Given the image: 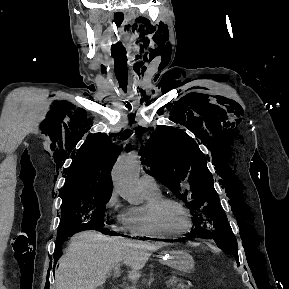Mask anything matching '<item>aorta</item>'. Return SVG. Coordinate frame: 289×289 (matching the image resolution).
<instances>
[{
    "instance_id": "obj_1",
    "label": "aorta",
    "mask_w": 289,
    "mask_h": 289,
    "mask_svg": "<svg viewBox=\"0 0 289 289\" xmlns=\"http://www.w3.org/2000/svg\"><path fill=\"white\" fill-rule=\"evenodd\" d=\"M139 171L140 158L136 153L121 156L112 170L114 188L132 205H138L143 200L138 182Z\"/></svg>"
}]
</instances>
